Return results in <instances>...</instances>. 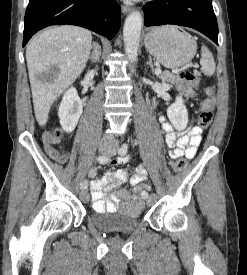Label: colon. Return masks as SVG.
Masks as SVG:
<instances>
[{
	"label": "colon",
	"mask_w": 247,
	"mask_h": 275,
	"mask_svg": "<svg viewBox=\"0 0 247 275\" xmlns=\"http://www.w3.org/2000/svg\"><path fill=\"white\" fill-rule=\"evenodd\" d=\"M199 75L191 70L182 69L178 73L179 89L186 96H193L194 89L199 85ZM207 97L202 101L200 106V113L198 116V124L201 128H207L211 125L213 119V111L215 108V100L213 96V89L211 87L205 90ZM62 132L58 129L49 131L45 134L44 140L46 144L54 145L61 141ZM187 165L184 158L177 159L172 163V170L176 173L182 171ZM146 192L145 185H139L133 188V196L140 198Z\"/></svg>",
	"instance_id": "1"
}]
</instances>
